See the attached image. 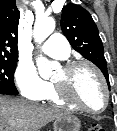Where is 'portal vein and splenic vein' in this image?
I'll return each mask as SVG.
<instances>
[{
	"instance_id": "obj_1",
	"label": "portal vein and splenic vein",
	"mask_w": 117,
	"mask_h": 131,
	"mask_svg": "<svg viewBox=\"0 0 117 131\" xmlns=\"http://www.w3.org/2000/svg\"><path fill=\"white\" fill-rule=\"evenodd\" d=\"M10 124L14 123V121H9Z\"/></svg>"
}]
</instances>
